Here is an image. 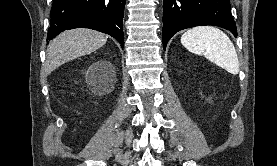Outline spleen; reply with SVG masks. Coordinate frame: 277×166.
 I'll return each instance as SVG.
<instances>
[{
    "instance_id": "1",
    "label": "spleen",
    "mask_w": 277,
    "mask_h": 166,
    "mask_svg": "<svg viewBox=\"0 0 277 166\" xmlns=\"http://www.w3.org/2000/svg\"><path fill=\"white\" fill-rule=\"evenodd\" d=\"M181 43L190 52L203 55L233 75L238 74L239 61L235 47L220 29L213 26L194 27L181 36Z\"/></svg>"
}]
</instances>
